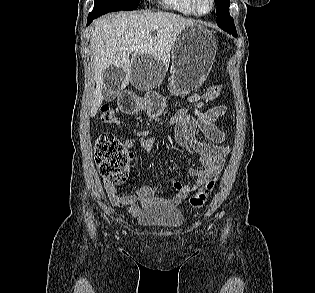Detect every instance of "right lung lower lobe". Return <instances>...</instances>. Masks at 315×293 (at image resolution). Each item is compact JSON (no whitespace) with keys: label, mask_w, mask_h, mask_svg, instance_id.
I'll return each mask as SVG.
<instances>
[{"label":"right lung lower lobe","mask_w":315,"mask_h":293,"mask_svg":"<svg viewBox=\"0 0 315 293\" xmlns=\"http://www.w3.org/2000/svg\"><path fill=\"white\" fill-rule=\"evenodd\" d=\"M122 9L113 6L111 4H100L94 5V9L91 13H89L88 18H87V25H89L94 19L100 17L103 14H106L108 12H114V11H120Z\"/></svg>","instance_id":"right-lung-lower-lobe-1"}]
</instances>
